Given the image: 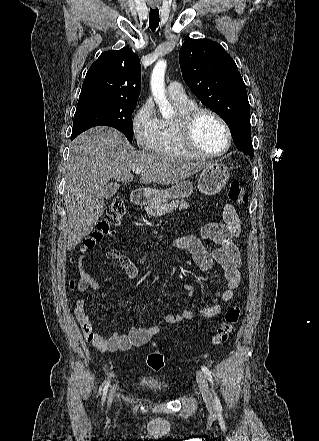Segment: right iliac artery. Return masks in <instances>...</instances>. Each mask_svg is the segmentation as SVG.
<instances>
[{
  "label": "right iliac artery",
  "instance_id": "right-iliac-artery-1",
  "mask_svg": "<svg viewBox=\"0 0 319 441\" xmlns=\"http://www.w3.org/2000/svg\"><path fill=\"white\" fill-rule=\"evenodd\" d=\"M109 383H110V381L108 380V381L106 382V384H105L104 389H103V402H104V400H105V398H106V395H107V391H108V388H109Z\"/></svg>",
  "mask_w": 319,
  "mask_h": 441
}]
</instances>
